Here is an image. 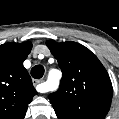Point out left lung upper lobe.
<instances>
[{
  "mask_svg": "<svg viewBox=\"0 0 119 119\" xmlns=\"http://www.w3.org/2000/svg\"><path fill=\"white\" fill-rule=\"evenodd\" d=\"M62 71L59 89L49 100L59 119H104L113 88L110 77L98 58L83 45L67 41L46 42Z\"/></svg>",
  "mask_w": 119,
  "mask_h": 119,
  "instance_id": "1",
  "label": "left lung upper lobe"
}]
</instances>
